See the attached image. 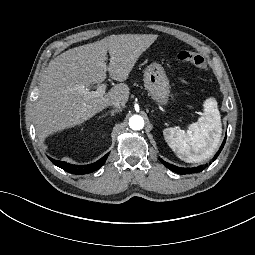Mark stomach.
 I'll return each mask as SVG.
<instances>
[{"label": "stomach", "mask_w": 255, "mask_h": 255, "mask_svg": "<svg viewBox=\"0 0 255 255\" xmlns=\"http://www.w3.org/2000/svg\"><path fill=\"white\" fill-rule=\"evenodd\" d=\"M144 87L147 94L160 108H166L169 105L171 87L161 67L145 69Z\"/></svg>", "instance_id": "stomach-1"}]
</instances>
